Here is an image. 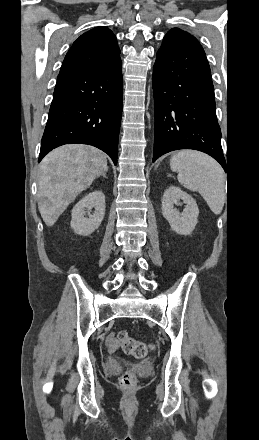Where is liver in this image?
Listing matches in <instances>:
<instances>
[{
    "mask_svg": "<svg viewBox=\"0 0 259 440\" xmlns=\"http://www.w3.org/2000/svg\"><path fill=\"white\" fill-rule=\"evenodd\" d=\"M108 170L106 154L89 145H63L41 161L38 175V209L50 227L78 194Z\"/></svg>",
    "mask_w": 259,
    "mask_h": 440,
    "instance_id": "obj_1",
    "label": "liver"
}]
</instances>
